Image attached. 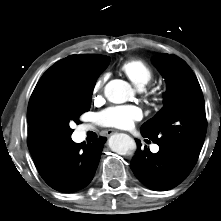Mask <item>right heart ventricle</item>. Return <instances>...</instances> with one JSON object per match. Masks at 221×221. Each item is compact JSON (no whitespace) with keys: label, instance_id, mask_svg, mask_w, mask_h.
I'll return each mask as SVG.
<instances>
[{"label":"right heart ventricle","instance_id":"e07e8e85","mask_svg":"<svg viewBox=\"0 0 221 221\" xmlns=\"http://www.w3.org/2000/svg\"><path fill=\"white\" fill-rule=\"evenodd\" d=\"M121 69L140 89L148 85L154 76L152 68L145 61L140 59L126 61Z\"/></svg>","mask_w":221,"mask_h":221}]
</instances>
